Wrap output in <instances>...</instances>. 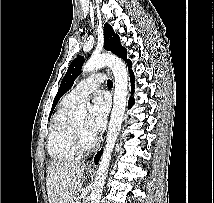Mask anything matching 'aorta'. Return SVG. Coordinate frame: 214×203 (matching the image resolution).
Masks as SVG:
<instances>
[{
    "label": "aorta",
    "mask_w": 214,
    "mask_h": 203,
    "mask_svg": "<svg viewBox=\"0 0 214 203\" xmlns=\"http://www.w3.org/2000/svg\"><path fill=\"white\" fill-rule=\"evenodd\" d=\"M108 66L115 78L114 104L108 127L105 148L99 161L97 175L94 182V188L91 193V203H100L102 190L108 174L111 155L121 130L125 108L128 87V72L125 63L117 56L102 54L92 56L83 66V72H93ZM87 115L86 106L79 105L74 111L73 119H83Z\"/></svg>",
    "instance_id": "obj_1"
}]
</instances>
